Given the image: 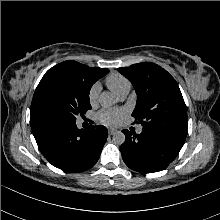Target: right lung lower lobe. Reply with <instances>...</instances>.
<instances>
[{
    "label": "right lung lower lobe",
    "mask_w": 220,
    "mask_h": 220,
    "mask_svg": "<svg viewBox=\"0 0 220 220\" xmlns=\"http://www.w3.org/2000/svg\"><path fill=\"white\" fill-rule=\"evenodd\" d=\"M31 128L39 150L53 166L67 172L92 168L99 159L108 131L104 126L78 129L76 122L33 116Z\"/></svg>",
    "instance_id": "obj_1"
}]
</instances>
